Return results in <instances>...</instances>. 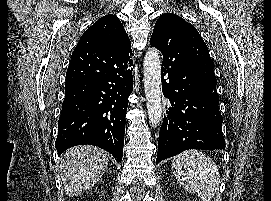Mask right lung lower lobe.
<instances>
[{
    "mask_svg": "<svg viewBox=\"0 0 271 201\" xmlns=\"http://www.w3.org/2000/svg\"><path fill=\"white\" fill-rule=\"evenodd\" d=\"M133 62L97 46H76L66 73L65 98L55 147L98 146L120 162Z\"/></svg>",
    "mask_w": 271,
    "mask_h": 201,
    "instance_id": "right-lung-lower-lobe-1",
    "label": "right lung lower lobe"
}]
</instances>
